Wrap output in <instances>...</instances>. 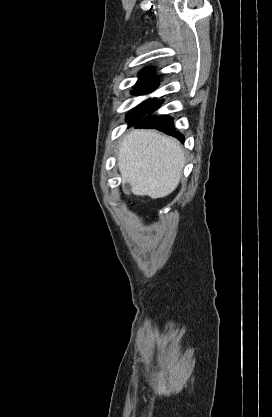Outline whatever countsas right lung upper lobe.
<instances>
[{"mask_svg": "<svg viewBox=\"0 0 272 417\" xmlns=\"http://www.w3.org/2000/svg\"><path fill=\"white\" fill-rule=\"evenodd\" d=\"M158 79L153 74V71L150 67H147L142 70L141 76L138 82L134 85V91H146L153 90L158 86Z\"/></svg>", "mask_w": 272, "mask_h": 417, "instance_id": "obj_1", "label": "right lung upper lobe"}]
</instances>
